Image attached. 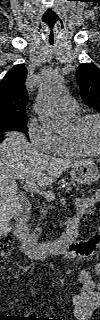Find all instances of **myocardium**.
I'll return each instance as SVG.
<instances>
[{"label": "myocardium", "mask_w": 100, "mask_h": 320, "mask_svg": "<svg viewBox=\"0 0 100 320\" xmlns=\"http://www.w3.org/2000/svg\"><path fill=\"white\" fill-rule=\"evenodd\" d=\"M88 121H96L99 126V132H100V117L93 114H87L80 117H77L74 119L72 127L74 133L72 135H67L68 141L76 147L78 150L83 152L87 155H98L100 154V146L97 150H92L89 147H87L79 138L78 132L79 130L84 126V124Z\"/></svg>", "instance_id": "myocardium-1"}]
</instances>
